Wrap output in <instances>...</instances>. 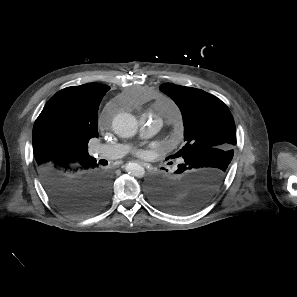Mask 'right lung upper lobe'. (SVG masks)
<instances>
[{"label":"right lung upper lobe","mask_w":297,"mask_h":297,"mask_svg":"<svg viewBox=\"0 0 297 297\" xmlns=\"http://www.w3.org/2000/svg\"><path fill=\"white\" fill-rule=\"evenodd\" d=\"M109 89L99 83L67 87L46 103L32 135L38 168L56 160L89 157L87 145L98 137V108Z\"/></svg>","instance_id":"1"}]
</instances>
